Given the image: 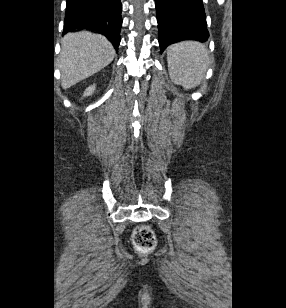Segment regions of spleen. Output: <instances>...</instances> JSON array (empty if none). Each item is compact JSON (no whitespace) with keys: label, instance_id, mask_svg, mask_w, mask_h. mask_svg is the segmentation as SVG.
<instances>
[{"label":"spleen","instance_id":"1","mask_svg":"<svg viewBox=\"0 0 286 308\" xmlns=\"http://www.w3.org/2000/svg\"><path fill=\"white\" fill-rule=\"evenodd\" d=\"M167 61L171 79L188 90L204 78L209 67V54L201 43L182 41L169 46Z\"/></svg>","mask_w":286,"mask_h":308}]
</instances>
